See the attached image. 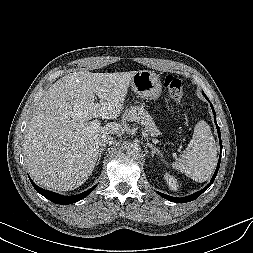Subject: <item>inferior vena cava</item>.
<instances>
[{
    "label": "inferior vena cava",
    "mask_w": 253,
    "mask_h": 253,
    "mask_svg": "<svg viewBox=\"0 0 253 253\" xmlns=\"http://www.w3.org/2000/svg\"><path fill=\"white\" fill-rule=\"evenodd\" d=\"M114 143H115V140L111 136H103V137H101V139L99 141L100 146L112 145Z\"/></svg>",
    "instance_id": "obj_1"
}]
</instances>
